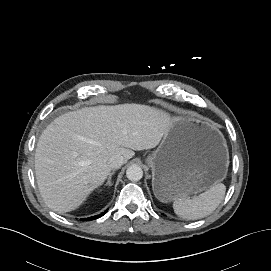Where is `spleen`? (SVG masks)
I'll return each mask as SVG.
<instances>
[{"label":"spleen","instance_id":"3e777b00","mask_svg":"<svg viewBox=\"0 0 271 271\" xmlns=\"http://www.w3.org/2000/svg\"><path fill=\"white\" fill-rule=\"evenodd\" d=\"M226 192L223 183H214L205 192L193 198L182 195L173 203L176 215L186 220H195L210 215L222 202Z\"/></svg>","mask_w":271,"mask_h":271}]
</instances>
